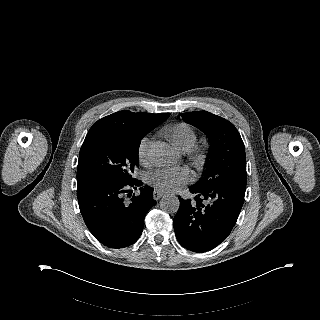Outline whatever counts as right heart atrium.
<instances>
[{"label": "right heart atrium", "mask_w": 320, "mask_h": 320, "mask_svg": "<svg viewBox=\"0 0 320 320\" xmlns=\"http://www.w3.org/2000/svg\"><path fill=\"white\" fill-rule=\"evenodd\" d=\"M150 139L148 137H144L139 144L138 147V157L140 161L145 162L147 160L148 148L150 145Z\"/></svg>", "instance_id": "1"}]
</instances>
